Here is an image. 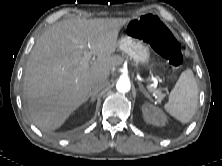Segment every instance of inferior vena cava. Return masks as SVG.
Segmentation results:
<instances>
[{
    "instance_id": "obj_1",
    "label": "inferior vena cava",
    "mask_w": 222,
    "mask_h": 166,
    "mask_svg": "<svg viewBox=\"0 0 222 166\" xmlns=\"http://www.w3.org/2000/svg\"><path fill=\"white\" fill-rule=\"evenodd\" d=\"M108 85V79L107 78H98L93 81L92 83V90L93 92L97 93L104 89Z\"/></svg>"
}]
</instances>
